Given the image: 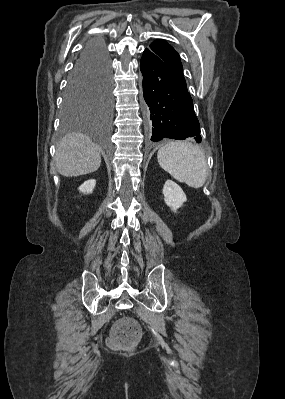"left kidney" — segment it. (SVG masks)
<instances>
[{
	"label": "left kidney",
	"mask_w": 285,
	"mask_h": 399,
	"mask_svg": "<svg viewBox=\"0 0 285 399\" xmlns=\"http://www.w3.org/2000/svg\"><path fill=\"white\" fill-rule=\"evenodd\" d=\"M164 201L174 212L180 208L187 198L179 185L171 180H167L163 187Z\"/></svg>",
	"instance_id": "left-kidney-1"
}]
</instances>
